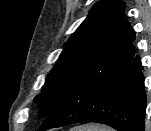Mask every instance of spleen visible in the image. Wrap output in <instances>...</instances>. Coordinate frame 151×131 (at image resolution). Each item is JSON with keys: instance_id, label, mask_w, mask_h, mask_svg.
I'll use <instances>...</instances> for the list:
<instances>
[{"instance_id": "obj_1", "label": "spleen", "mask_w": 151, "mask_h": 131, "mask_svg": "<svg viewBox=\"0 0 151 131\" xmlns=\"http://www.w3.org/2000/svg\"><path fill=\"white\" fill-rule=\"evenodd\" d=\"M70 131H114L113 129L102 125H82L72 128Z\"/></svg>"}]
</instances>
